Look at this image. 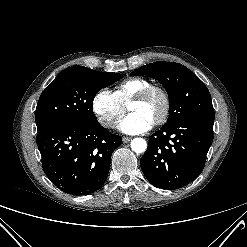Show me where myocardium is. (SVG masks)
<instances>
[{
	"instance_id": "f54148a6",
	"label": "myocardium",
	"mask_w": 247,
	"mask_h": 247,
	"mask_svg": "<svg viewBox=\"0 0 247 247\" xmlns=\"http://www.w3.org/2000/svg\"><path fill=\"white\" fill-rule=\"evenodd\" d=\"M158 94L163 100V110L160 116L155 120L154 125H161L165 123L171 112V97L168 91L159 85H149L148 87L137 93L131 100L132 102H143L148 100L152 95Z\"/></svg>"
}]
</instances>
